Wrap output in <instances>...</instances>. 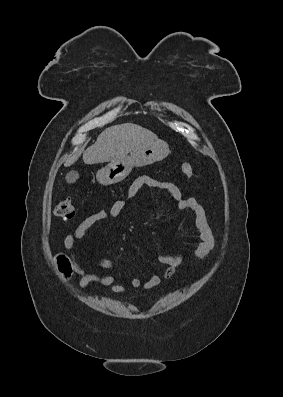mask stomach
<instances>
[{
	"instance_id": "1",
	"label": "stomach",
	"mask_w": 283,
	"mask_h": 397,
	"mask_svg": "<svg viewBox=\"0 0 283 397\" xmlns=\"http://www.w3.org/2000/svg\"><path fill=\"white\" fill-rule=\"evenodd\" d=\"M169 146L165 141L156 140L138 145L130 156L111 161L98 170L96 178L102 185H111L125 179L134 166L142 167L161 161L169 154Z\"/></svg>"
}]
</instances>
